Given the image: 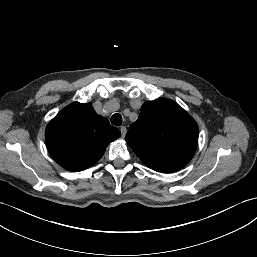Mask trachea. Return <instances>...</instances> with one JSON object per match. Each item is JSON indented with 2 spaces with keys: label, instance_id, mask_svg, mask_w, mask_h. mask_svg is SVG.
Instances as JSON below:
<instances>
[{
  "label": "trachea",
  "instance_id": "trachea-1",
  "mask_svg": "<svg viewBox=\"0 0 257 257\" xmlns=\"http://www.w3.org/2000/svg\"><path fill=\"white\" fill-rule=\"evenodd\" d=\"M111 123L116 126H120L122 124V116L118 113L113 114L111 117Z\"/></svg>",
  "mask_w": 257,
  "mask_h": 257
}]
</instances>
